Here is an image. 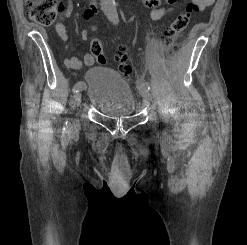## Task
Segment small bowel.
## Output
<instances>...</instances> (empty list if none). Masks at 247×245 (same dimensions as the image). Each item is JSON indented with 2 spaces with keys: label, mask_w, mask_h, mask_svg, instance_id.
<instances>
[{
  "label": "small bowel",
  "mask_w": 247,
  "mask_h": 245,
  "mask_svg": "<svg viewBox=\"0 0 247 245\" xmlns=\"http://www.w3.org/2000/svg\"><path fill=\"white\" fill-rule=\"evenodd\" d=\"M143 3L152 8L151 10V18L154 21H158L162 19L167 14L173 12L175 10L177 0H142ZM200 10H203L209 6H211L215 0H193ZM163 4H167V6H164ZM73 12V2L72 0H68L67 5L65 8H61V18H69L72 15ZM97 13V5L95 0H92L89 7L84 12V19L90 20L95 14ZM54 30L60 40L63 43L68 42V34L67 30L65 28V25L62 21H59L55 24ZM88 37V33L86 30H83L81 32V38L83 40H86ZM95 62V56L92 53H87L84 55L83 60H80L76 57H71L65 59V65L72 69H80L83 65L91 66Z\"/></svg>",
  "instance_id": "c3829d8e"
}]
</instances>
